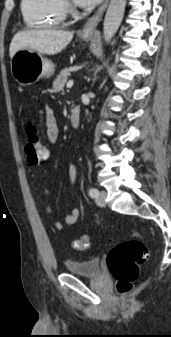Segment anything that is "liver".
<instances>
[{
	"label": "liver",
	"instance_id": "6515ba94",
	"mask_svg": "<svg viewBox=\"0 0 171 337\" xmlns=\"http://www.w3.org/2000/svg\"><path fill=\"white\" fill-rule=\"evenodd\" d=\"M73 32L63 30H25L16 33L11 41L9 56L21 49H29L40 54L60 53L72 40Z\"/></svg>",
	"mask_w": 171,
	"mask_h": 337
}]
</instances>
